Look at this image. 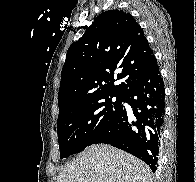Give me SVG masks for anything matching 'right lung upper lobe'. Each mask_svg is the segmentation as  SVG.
<instances>
[{"label":"right lung upper lobe","mask_w":196,"mask_h":182,"mask_svg":"<svg viewBox=\"0 0 196 182\" xmlns=\"http://www.w3.org/2000/svg\"><path fill=\"white\" fill-rule=\"evenodd\" d=\"M143 30L123 10H108L95 18L68 49L61 71L59 113L99 96L126 94L131 84L155 62ZM122 69L114 85V71Z\"/></svg>","instance_id":"1"}]
</instances>
